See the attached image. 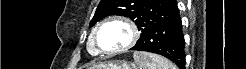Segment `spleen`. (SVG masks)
<instances>
[{"label": "spleen", "mask_w": 246, "mask_h": 69, "mask_svg": "<svg viewBox=\"0 0 246 69\" xmlns=\"http://www.w3.org/2000/svg\"><path fill=\"white\" fill-rule=\"evenodd\" d=\"M137 69H177L168 59L142 51H136L133 54Z\"/></svg>", "instance_id": "1"}]
</instances>
